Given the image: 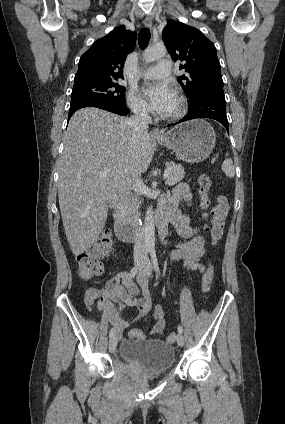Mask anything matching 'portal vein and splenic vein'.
Masks as SVG:
<instances>
[{
	"label": "portal vein and splenic vein",
	"mask_w": 285,
	"mask_h": 424,
	"mask_svg": "<svg viewBox=\"0 0 285 424\" xmlns=\"http://www.w3.org/2000/svg\"><path fill=\"white\" fill-rule=\"evenodd\" d=\"M169 172H170V169L169 168H167L166 170H165V172H164V179H167V177L169 176ZM107 175V171L105 170V171H102L101 173H100V176L101 177H105Z\"/></svg>",
	"instance_id": "1"
}]
</instances>
